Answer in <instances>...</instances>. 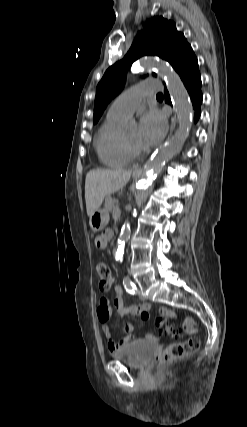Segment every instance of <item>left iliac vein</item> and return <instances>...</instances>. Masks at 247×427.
<instances>
[{"label":"left iliac vein","instance_id":"obj_1","mask_svg":"<svg viewBox=\"0 0 247 427\" xmlns=\"http://www.w3.org/2000/svg\"><path fill=\"white\" fill-rule=\"evenodd\" d=\"M138 297H139L141 300H145V299H146V296H145V295H143V293H142L141 291H138Z\"/></svg>","mask_w":247,"mask_h":427}]
</instances>
